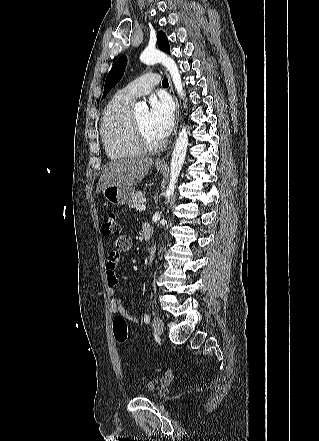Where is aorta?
<instances>
[{
	"mask_svg": "<svg viewBox=\"0 0 319 441\" xmlns=\"http://www.w3.org/2000/svg\"><path fill=\"white\" fill-rule=\"evenodd\" d=\"M141 62L152 65L155 63H161L164 65L167 70L169 71L175 89L177 90L178 94L183 97V84L181 81L180 72L178 70V67L175 63V61L169 57L166 53L160 51V50H150L145 49L141 55H140ZM147 105L144 102H139L135 105L136 112L143 113L147 110ZM188 146V132L186 130V127H183L178 135L173 153H172V159H171V169H170V180L167 187V190L165 192V198L167 199V203L170 201V198L174 194V190L176 187V183L178 180V177L180 175V171L182 169L186 151ZM156 247H153L151 250V257L150 261L153 260L154 253H155Z\"/></svg>",
	"mask_w": 319,
	"mask_h": 441,
	"instance_id": "obj_1",
	"label": "aorta"
}]
</instances>
